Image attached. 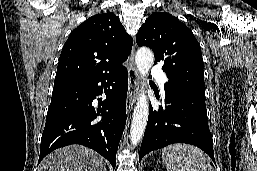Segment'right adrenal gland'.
<instances>
[{
	"label": "right adrenal gland",
	"instance_id": "right-adrenal-gland-1",
	"mask_svg": "<svg viewBox=\"0 0 257 171\" xmlns=\"http://www.w3.org/2000/svg\"><path fill=\"white\" fill-rule=\"evenodd\" d=\"M103 171H107V170H106V168H104V170H103Z\"/></svg>",
	"mask_w": 257,
	"mask_h": 171
}]
</instances>
